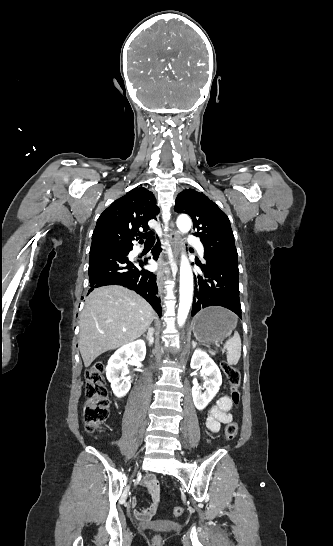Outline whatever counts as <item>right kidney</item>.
<instances>
[{
    "label": "right kidney",
    "instance_id": "obj_1",
    "mask_svg": "<svg viewBox=\"0 0 333 546\" xmlns=\"http://www.w3.org/2000/svg\"><path fill=\"white\" fill-rule=\"evenodd\" d=\"M145 355L144 341L137 340L122 346L110 357L106 367V376L116 397L125 396L131 387L130 380L125 377L129 373L128 359L141 362ZM121 380L123 381L121 382Z\"/></svg>",
    "mask_w": 333,
    "mask_h": 546
}]
</instances>
